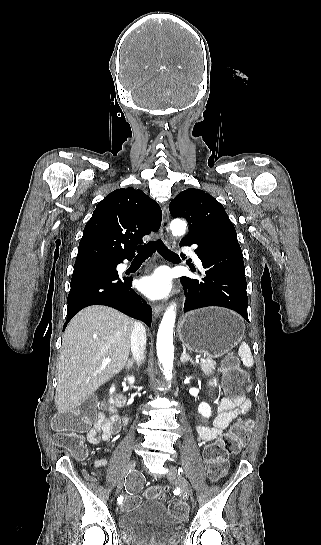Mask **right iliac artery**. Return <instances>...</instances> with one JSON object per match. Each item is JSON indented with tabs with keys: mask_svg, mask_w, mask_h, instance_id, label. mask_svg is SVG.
Here are the masks:
<instances>
[{
	"mask_svg": "<svg viewBox=\"0 0 321 545\" xmlns=\"http://www.w3.org/2000/svg\"><path fill=\"white\" fill-rule=\"evenodd\" d=\"M121 500H122V497L118 498V503H120V502H121Z\"/></svg>",
	"mask_w": 321,
	"mask_h": 545,
	"instance_id": "obj_1",
	"label": "right iliac artery"
}]
</instances>
